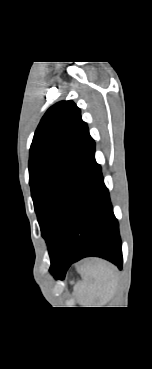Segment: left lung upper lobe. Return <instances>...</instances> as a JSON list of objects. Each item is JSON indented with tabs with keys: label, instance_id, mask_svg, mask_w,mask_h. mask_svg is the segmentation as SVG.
Returning a JSON list of instances; mask_svg holds the SVG:
<instances>
[{
	"label": "left lung upper lobe",
	"instance_id": "left-lung-upper-lobe-1",
	"mask_svg": "<svg viewBox=\"0 0 152 369\" xmlns=\"http://www.w3.org/2000/svg\"><path fill=\"white\" fill-rule=\"evenodd\" d=\"M95 142L80 109L61 101L42 117L30 148L29 183L51 261L62 244Z\"/></svg>",
	"mask_w": 152,
	"mask_h": 369
}]
</instances>
